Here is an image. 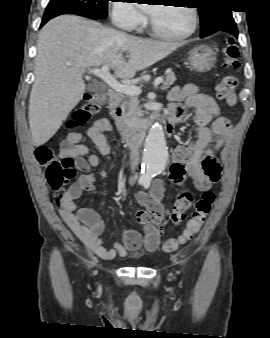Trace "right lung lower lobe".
I'll return each mask as SVG.
<instances>
[{
    "instance_id": "1",
    "label": "right lung lower lobe",
    "mask_w": 270,
    "mask_h": 338,
    "mask_svg": "<svg viewBox=\"0 0 270 338\" xmlns=\"http://www.w3.org/2000/svg\"><path fill=\"white\" fill-rule=\"evenodd\" d=\"M62 14H65V13H62V12H54V13H46L44 14V17H43V20H42V23H41V27L47 22L49 21L50 19L56 17V16H59V15H62ZM80 15H83V16H86V17H89V18H93V19H100V17H97V16H94V15H91V14H80Z\"/></svg>"
}]
</instances>
